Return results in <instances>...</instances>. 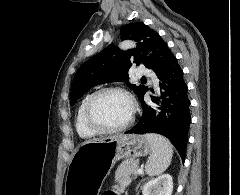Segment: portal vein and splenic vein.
Segmentation results:
<instances>
[{
	"mask_svg": "<svg viewBox=\"0 0 240 195\" xmlns=\"http://www.w3.org/2000/svg\"><path fill=\"white\" fill-rule=\"evenodd\" d=\"M135 173H144L143 167H141V169H137V171H135ZM130 180H131V179H130ZM125 186L128 188V187L130 186V183H129V182H126V183H125ZM126 187L123 189V191H122L123 193L128 190Z\"/></svg>",
	"mask_w": 240,
	"mask_h": 195,
	"instance_id": "1",
	"label": "portal vein and splenic vein"
}]
</instances>
